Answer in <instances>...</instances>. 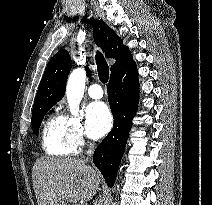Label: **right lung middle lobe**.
<instances>
[{
    "instance_id": "obj_1",
    "label": "right lung middle lobe",
    "mask_w": 212,
    "mask_h": 205,
    "mask_svg": "<svg viewBox=\"0 0 212 205\" xmlns=\"http://www.w3.org/2000/svg\"><path fill=\"white\" fill-rule=\"evenodd\" d=\"M53 105H43L39 107L33 108L32 112V129L35 135H38L40 124L45 116V114L49 111V109Z\"/></svg>"
}]
</instances>
